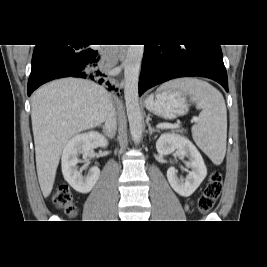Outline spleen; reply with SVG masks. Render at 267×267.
I'll return each mask as SVG.
<instances>
[{
    "label": "spleen",
    "instance_id": "3e777b00",
    "mask_svg": "<svg viewBox=\"0 0 267 267\" xmlns=\"http://www.w3.org/2000/svg\"><path fill=\"white\" fill-rule=\"evenodd\" d=\"M167 88L185 91L196 103V108L202 110L198 123L192 127L193 139L214 164H221L226 153L227 110L220 91L197 78L176 79L165 83L159 90Z\"/></svg>",
    "mask_w": 267,
    "mask_h": 267
}]
</instances>
